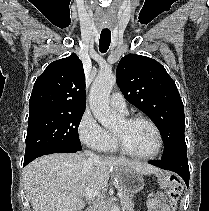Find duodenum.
I'll return each mask as SVG.
<instances>
[{"label":"duodenum","mask_w":209,"mask_h":211,"mask_svg":"<svg viewBox=\"0 0 209 211\" xmlns=\"http://www.w3.org/2000/svg\"><path fill=\"white\" fill-rule=\"evenodd\" d=\"M85 211H92L91 209H86Z\"/></svg>","instance_id":"obj_1"}]
</instances>
